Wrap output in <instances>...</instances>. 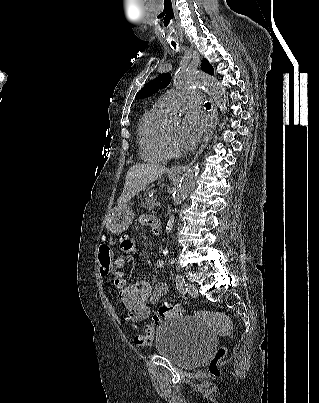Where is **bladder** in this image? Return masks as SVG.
<instances>
[{
	"label": "bladder",
	"mask_w": 319,
	"mask_h": 403,
	"mask_svg": "<svg viewBox=\"0 0 319 403\" xmlns=\"http://www.w3.org/2000/svg\"><path fill=\"white\" fill-rule=\"evenodd\" d=\"M213 333L190 316L162 322L155 333L156 352L181 368H192L204 361L215 345Z\"/></svg>",
	"instance_id": "31cf9c89"
}]
</instances>
